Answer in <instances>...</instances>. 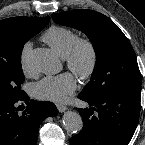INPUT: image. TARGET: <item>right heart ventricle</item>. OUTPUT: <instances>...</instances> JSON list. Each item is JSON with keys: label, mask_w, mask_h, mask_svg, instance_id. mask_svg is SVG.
<instances>
[{"label": "right heart ventricle", "mask_w": 145, "mask_h": 145, "mask_svg": "<svg viewBox=\"0 0 145 145\" xmlns=\"http://www.w3.org/2000/svg\"><path fill=\"white\" fill-rule=\"evenodd\" d=\"M42 39L58 55L66 57L78 39L75 31L64 26H51L42 35Z\"/></svg>", "instance_id": "e07e8e85"}]
</instances>
